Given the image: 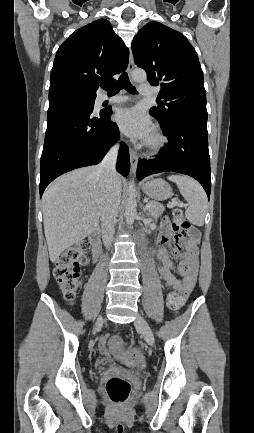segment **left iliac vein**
I'll return each mask as SVG.
<instances>
[{
    "instance_id": "obj_1",
    "label": "left iliac vein",
    "mask_w": 254,
    "mask_h": 433,
    "mask_svg": "<svg viewBox=\"0 0 254 433\" xmlns=\"http://www.w3.org/2000/svg\"><path fill=\"white\" fill-rule=\"evenodd\" d=\"M134 325L137 329H139L141 331L146 343L150 346H153V344H154L153 332H152L148 322L140 314H138L136 316V319L134 321Z\"/></svg>"
}]
</instances>
